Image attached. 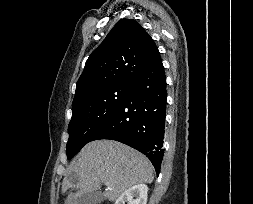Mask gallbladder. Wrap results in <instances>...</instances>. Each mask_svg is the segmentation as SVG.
<instances>
[{"label":"gallbladder","mask_w":253,"mask_h":204,"mask_svg":"<svg viewBox=\"0 0 253 204\" xmlns=\"http://www.w3.org/2000/svg\"><path fill=\"white\" fill-rule=\"evenodd\" d=\"M104 199V194L99 191L83 194L79 198V204H100Z\"/></svg>","instance_id":"obj_1"}]
</instances>
